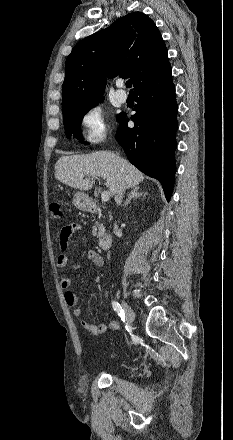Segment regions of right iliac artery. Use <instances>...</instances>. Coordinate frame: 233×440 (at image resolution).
<instances>
[{
  "label": "right iliac artery",
  "instance_id": "1",
  "mask_svg": "<svg viewBox=\"0 0 233 440\" xmlns=\"http://www.w3.org/2000/svg\"><path fill=\"white\" fill-rule=\"evenodd\" d=\"M112 307L117 312V314L120 316L121 320L125 321V313H124V310L122 309L121 305L116 301H112Z\"/></svg>",
  "mask_w": 233,
  "mask_h": 440
}]
</instances>
